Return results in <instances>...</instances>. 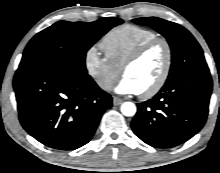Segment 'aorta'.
<instances>
[{"mask_svg":"<svg viewBox=\"0 0 220 173\" xmlns=\"http://www.w3.org/2000/svg\"><path fill=\"white\" fill-rule=\"evenodd\" d=\"M121 112L123 115L128 117L133 116L136 113V106L132 102H124L121 105Z\"/></svg>","mask_w":220,"mask_h":173,"instance_id":"obj_1","label":"aorta"}]
</instances>
